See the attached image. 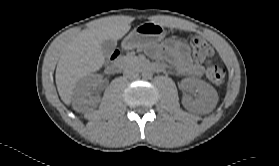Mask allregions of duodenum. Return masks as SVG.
<instances>
[{
    "label": "duodenum",
    "instance_id": "410a0bca",
    "mask_svg": "<svg viewBox=\"0 0 279 166\" xmlns=\"http://www.w3.org/2000/svg\"><path fill=\"white\" fill-rule=\"evenodd\" d=\"M140 66L144 70L157 71L160 69V65L158 64L141 63ZM123 68L124 61L121 58H118L108 66L107 71L111 74H116L121 72Z\"/></svg>",
    "mask_w": 279,
    "mask_h": 166
}]
</instances>
